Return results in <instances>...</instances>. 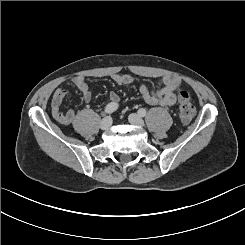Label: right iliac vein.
<instances>
[{
    "label": "right iliac vein",
    "instance_id": "1",
    "mask_svg": "<svg viewBox=\"0 0 245 245\" xmlns=\"http://www.w3.org/2000/svg\"><path fill=\"white\" fill-rule=\"evenodd\" d=\"M112 125V118L111 117H105L101 122H100V127L102 130H107L110 128Z\"/></svg>",
    "mask_w": 245,
    "mask_h": 245
}]
</instances>
